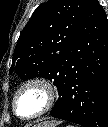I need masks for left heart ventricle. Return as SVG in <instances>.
<instances>
[{"label":"left heart ventricle","mask_w":108,"mask_h":127,"mask_svg":"<svg viewBox=\"0 0 108 127\" xmlns=\"http://www.w3.org/2000/svg\"><path fill=\"white\" fill-rule=\"evenodd\" d=\"M44 102L43 93L36 88L24 91L18 98L17 109L22 115H30L38 111Z\"/></svg>","instance_id":"b2bd125f"}]
</instances>
